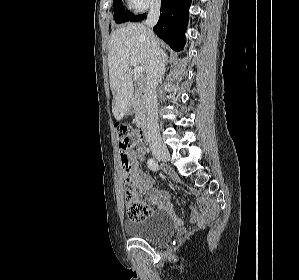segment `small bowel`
<instances>
[{"label":"small bowel","mask_w":299,"mask_h":280,"mask_svg":"<svg viewBox=\"0 0 299 280\" xmlns=\"http://www.w3.org/2000/svg\"><path fill=\"white\" fill-rule=\"evenodd\" d=\"M129 179L130 183L140 188V190L150 199V202H146L151 211V206H155L158 209L166 208L167 211L174 215V210L171 205H166L168 194L165 191H161L154 187V179L138 168V160L144 156V148L137 138H133V142L129 149ZM198 204L201 211L191 209V222L196 224H204L212 219L217 212L215 206H213L207 199L200 198Z\"/></svg>","instance_id":"obj_1"}]
</instances>
